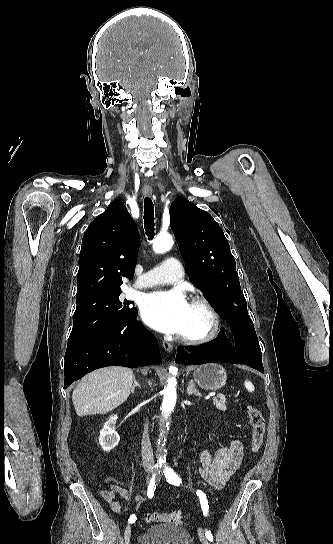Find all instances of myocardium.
<instances>
[{"mask_svg": "<svg viewBox=\"0 0 333 544\" xmlns=\"http://www.w3.org/2000/svg\"><path fill=\"white\" fill-rule=\"evenodd\" d=\"M192 305L202 307L209 317V327L207 331L201 335L188 336L180 335L181 341L187 344L199 345L212 341L219 333L221 328V316L213 303L204 296H195L191 300Z\"/></svg>", "mask_w": 333, "mask_h": 544, "instance_id": "myocardium-1", "label": "myocardium"}]
</instances>
